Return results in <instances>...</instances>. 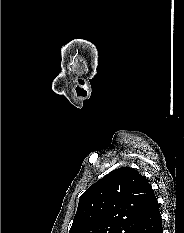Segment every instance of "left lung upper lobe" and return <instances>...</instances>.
I'll return each mask as SVG.
<instances>
[{
  "label": "left lung upper lobe",
  "mask_w": 184,
  "mask_h": 233,
  "mask_svg": "<svg viewBox=\"0 0 184 233\" xmlns=\"http://www.w3.org/2000/svg\"><path fill=\"white\" fill-rule=\"evenodd\" d=\"M153 196L135 169H115L81 195L69 233H135Z\"/></svg>",
  "instance_id": "5c2ea615"
}]
</instances>
